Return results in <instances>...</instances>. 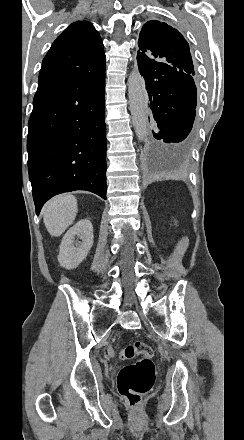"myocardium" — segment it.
I'll list each match as a JSON object with an SVG mask.
<instances>
[{
	"mask_svg": "<svg viewBox=\"0 0 244 440\" xmlns=\"http://www.w3.org/2000/svg\"><path fill=\"white\" fill-rule=\"evenodd\" d=\"M106 182H107V184L109 183L108 177H107V181Z\"/></svg>",
	"mask_w": 244,
	"mask_h": 440,
	"instance_id": "myocardium-1",
	"label": "myocardium"
}]
</instances>
